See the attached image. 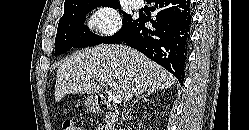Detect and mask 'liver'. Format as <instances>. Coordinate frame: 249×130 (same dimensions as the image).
<instances>
[{
	"mask_svg": "<svg viewBox=\"0 0 249 130\" xmlns=\"http://www.w3.org/2000/svg\"><path fill=\"white\" fill-rule=\"evenodd\" d=\"M119 84L124 103L143 92L161 90L176 78L140 52L122 45H101L66 57L57 71L55 101L67 94H95L101 80Z\"/></svg>",
	"mask_w": 249,
	"mask_h": 130,
	"instance_id": "1",
	"label": "liver"
}]
</instances>
